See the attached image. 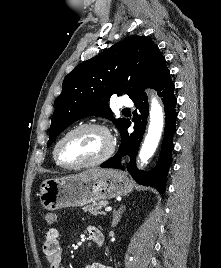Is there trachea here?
<instances>
[{"label": "trachea", "instance_id": "3493384b", "mask_svg": "<svg viewBox=\"0 0 221 268\" xmlns=\"http://www.w3.org/2000/svg\"><path fill=\"white\" fill-rule=\"evenodd\" d=\"M124 111H129V109H124Z\"/></svg>", "mask_w": 221, "mask_h": 268}]
</instances>
